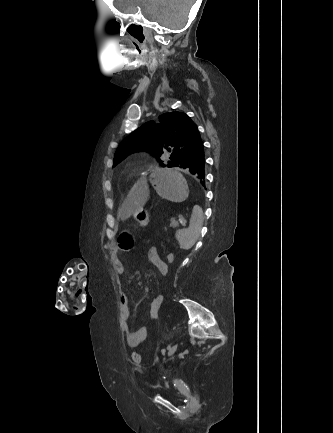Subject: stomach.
<instances>
[{"mask_svg": "<svg viewBox=\"0 0 333 433\" xmlns=\"http://www.w3.org/2000/svg\"><path fill=\"white\" fill-rule=\"evenodd\" d=\"M142 181L153 183L157 193L164 199L177 202L188 197L186 180L177 169H153L151 174H143ZM134 216L142 226H146L149 222V214L143 208Z\"/></svg>", "mask_w": 333, "mask_h": 433, "instance_id": "0dacf381", "label": "stomach"}]
</instances>
